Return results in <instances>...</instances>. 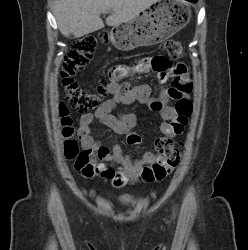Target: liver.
Here are the masks:
<instances>
[{
    "instance_id": "6515ba94",
    "label": "liver",
    "mask_w": 248,
    "mask_h": 250,
    "mask_svg": "<svg viewBox=\"0 0 248 250\" xmlns=\"http://www.w3.org/2000/svg\"><path fill=\"white\" fill-rule=\"evenodd\" d=\"M160 0H55L54 15L62 35L76 38L104 27L101 13L111 12L108 26L133 20L140 12Z\"/></svg>"
}]
</instances>
